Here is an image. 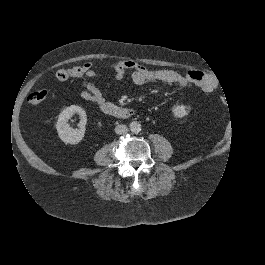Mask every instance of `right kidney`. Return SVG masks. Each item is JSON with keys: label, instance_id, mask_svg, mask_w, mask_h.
Masks as SVG:
<instances>
[{"label": "right kidney", "instance_id": "right-kidney-1", "mask_svg": "<svg viewBox=\"0 0 265 265\" xmlns=\"http://www.w3.org/2000/svg\"><path fill=\"white\" fill-rule=\"evenodd\" d=\"M76 113L80 116L79 129H73L68 124V120ZM86 123L87 116L85 110L79 106L71 105L59 114L56 129L63 142L77 144L84 137Z\"/></svg>", "mask_w": 265, "mask_h": 265}]
</instances>
